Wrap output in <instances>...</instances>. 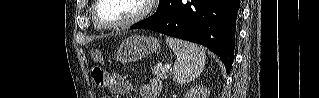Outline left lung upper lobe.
<instances>
[{
	"mask_svg": "<svg viewBox=\"0 0 319 98\" xmlns=\"http://www.w3.org/2000/svg\"><path fill=\"white\" fill-rule=\"evenodd\" d=\"M164 1L165 0H160V4L158 6V9L156 11V13L154 15H152L150 18L144 20V21H140L136 24H144V25H147V24H151L153 23L154 21L158 20L162 14H163V6H164Z\"/></svg>",
	"mask_w": 319,
	"mask_h": 98,
	"instance_id": "left-lung-upper-lobe-1",
	"label": "left lung upper lobe"
}]
</instances>
